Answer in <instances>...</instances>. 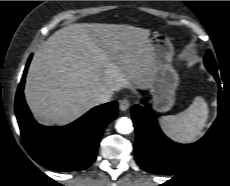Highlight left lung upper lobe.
Returning <instances> with one entry per match:
<instances>
[{
	"label": "left lung upper lobe",
	"instance_id": "obj_1",
	"mask_svg": "<svg viewBox=\"0 0 230 186\" xmlns=\"http://www.w3.org/2000/svg\"><path fill=\"white\" fill-rule=\"evenodd\" d=\"M204 63H205L206 68L209 70V72L212 75L217 73L215 61H214L213 55L210 50L207 51V54L204 58Z\"/></svg>",
	"mask_w": 230,
	"mask_h": 186
}]
</instances>
